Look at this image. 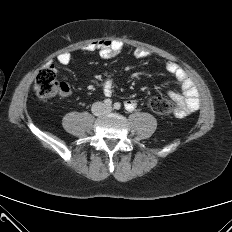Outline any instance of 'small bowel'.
<instances>
[{
  "label": "small bowel",
  "instance_id": "c3829d8e",
  "mask_svg": "<svg viewBox=\"0 0 232 232\" xmlns=\"http://www.w3.org/2000/svg\"><path fill=\"white\" fill-rule=\"evenodd\" d=\"M123 49L124 44L121 41L104 38L85 44L81 50L83 52H99L103 57H111L119 54ZM134 56L138 59H147L150 57V52L144 48H137L134 50ZM71 59V54L68 52L60 53L57 57L58 63L62 66L68 65ZM166 70L175 77L182 89V92L170 91L168 93L176 104V116L183 117L196 111L199 108L200 100L197 87L192 78L181 66L173 61L166 62ZM62 85V94L66 96L69 94L70 89L66 84ZM102 91L106 96L113 93L114 85L110 78L103 79ZM124 105L127 110L131 111L135 109L136 102L129 99L125 101Z\"/></svg>",
  "mask_w": 232,
  "mask_h": 232
}]
</instances>
